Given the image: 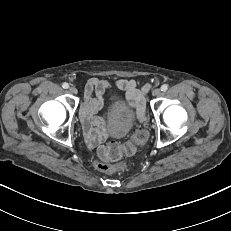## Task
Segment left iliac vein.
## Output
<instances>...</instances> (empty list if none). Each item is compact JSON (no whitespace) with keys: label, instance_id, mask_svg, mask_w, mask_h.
<instances>
[{"label":"left iliac vein","instance_id":"1","mask_svg":"<svg viewBox=\"0 0 231 231\" xmlns=\"http://www.w3.org/2000/svg\"><path fill=\"white\" fill-rule=\"evenodd\" d=\"M153 96H160L161 95V90L159 88H156L152 91Z\"/></svg>","mask_w":231,"mask_h":231}]
</instances>
